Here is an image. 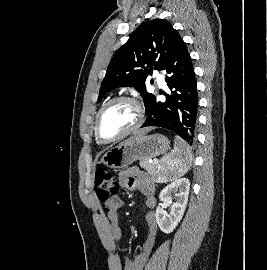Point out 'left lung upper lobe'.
Instances as JSON below:
<instances>
[{
	"instance_id": "obj_1",
	"label": "left lung upper lobe",
	"mask_w": 267,
	"mask_h": 270,
	"mask_svg": "<svg viewBox=\"0 0 267 270\" xmlns=\"http://www.w3.org/2000/svg\"><path fill=\"white\" fill-rule=\"evenodd\" d=\"M180 41V35L164 19L141 24L111 59L101 84L98 102L117 87L132 86L141 93L147 112L155 99L145 89L148 73L153 67L164 70Z\"/></svg>"
}]
</instances>
